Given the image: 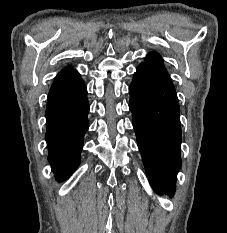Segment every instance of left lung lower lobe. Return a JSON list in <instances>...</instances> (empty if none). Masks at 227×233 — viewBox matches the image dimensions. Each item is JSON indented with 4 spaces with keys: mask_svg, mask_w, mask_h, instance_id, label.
<instances>
[{
    "mask_svg": "<svg viewBox=\"0 0 227 233\" xmlns=\"http://www.w3.org/2000/svg\"><path fill=\"white\" fill-rule=\"evenodd\" d=\"M129 92L133 127L149 181L156 192L174 195L181 167V125L171 78L139 65Z\"/></svg>",
    "mask_w": 227,
    "mask_h": 233,
    "instance_id": "0a47b994",
    "label": "left lung lower lobe"
}]
</instances>
